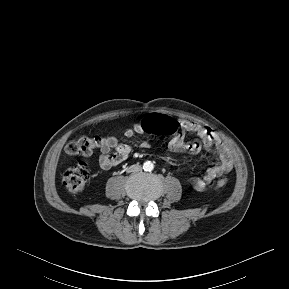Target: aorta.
Wrapping results in <instances>:
<instances>
[{
	"mask_svg": "<svg viewBox=\"0 0 289 289\" xmlns=\"http://www.w3.org/2000/svg\"><path fill=\"white\" fill-rule=\"evenodd\" d=\"M154 169V164L151 161H145L143 164V170L144 171H152Z\"/></svg>",
	"mask_w": 289,
	"mask_h": 289,
	"instance_id": "aorta-1",
	"label": "aorta"
}]
</instances>
